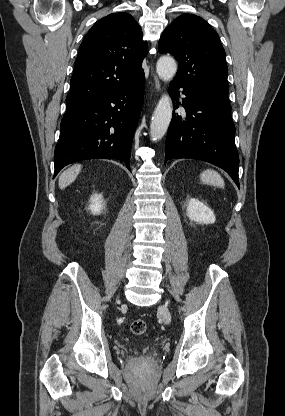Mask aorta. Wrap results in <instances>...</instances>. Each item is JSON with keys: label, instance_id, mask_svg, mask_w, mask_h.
I'll use <instances>...</instances> for the list:
<instances>
[{"label": "aorta", "instance_id": "1", "mask_svg": "<svg viewBox=\"0 0 285 416\" xmlns=\"http://www.w3.org/2000/svg\"><path fill=\"white\" fill-rule=\"evenodd\" d=\"M159 78L165 82L171 81L176 72L175 60L168 56L161 57L156 65ZM172 104L168 94L162 95L152 116L150 136L153 141H159L168 130L172 118Z\"/></svg>", "mask_w": 285, "mask_h": 416}]
</instances>
